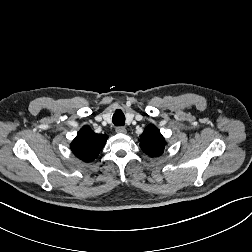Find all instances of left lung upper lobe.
I'll use <instances>...</instances> for the list:
<instances>
[{
	"mask_svg": "<svg viewBox=\"0 0 252 252\" xmlns=\"http://www.w3.org/2000/svg\"><path fill=\"white\" fill-rule=\"evenodd\" d=\"M166 142L159 129L153 124L148 125L140 135V147L144 153L156 157L164 152Z\"/></svg>",
	"mask_w": 252,
	"mask_h": 252,
	"instance_id": "5c2ea615",
	"label": "left lung upper lobe"
}]
</instances>
